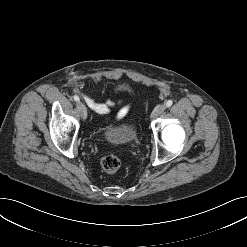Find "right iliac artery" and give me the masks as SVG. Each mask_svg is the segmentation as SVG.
<instances>
[{
	"label": "right iliac artery",
	"mask_w": 247,
	"mask_h": 247,
	"mask_svg": "<svg viewBox=\"0 0 247 247\" xmlns=\"http://www.w3.org/2000/svg\"><path fill=\"white\" fill-rule=\"evenodd\" d=\"M73 98H74V100H75L76 102H79V100H80L79 97H78L77 95H74Z\"/></svg>",
	"instance_id": "obj_1"
}]
</instances>
